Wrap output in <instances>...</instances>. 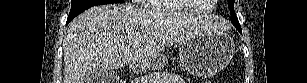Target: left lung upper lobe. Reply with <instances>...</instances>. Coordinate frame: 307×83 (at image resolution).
<instances>
[{"label":"left lung upper lobe","instance_id":"5c2ea615","mask_svg":"<svg viewBox=\"0 0 307 83\" xmlns=\"http://www.w3.org/2000/svg\"><path fill=\"white\" fill-rule=\"evenodd\" d=\"M234 2L235 0H228V6H229V9H230V14H231V21H232V24L236 27V28H241L240 24H239V21H238V18L234 12Z\"/></svg>","mask_w":307,"mask_h":83}]
</instances>
